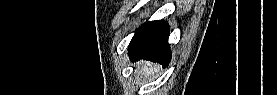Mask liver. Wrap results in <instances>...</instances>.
Returning <instances> with one entry per match:
<instances>
[{
    "label": "liver",
    "instance_id": "1",
    "mask_svg": "<svg viewBox=\"0 0 277 95\" xmlns=\"http://www.w3.org/2000/svg\"><path fill=\"white\" fill-rule=\"evenodd\" d=\"M141 64H142V67L140 70L138 66V74H142L145 77L154 75L159 69L158 65H154L145 61H143Z\"/></svg>",
    "mask_w": 277,
    "mask_h": 95
}]
</instances>
